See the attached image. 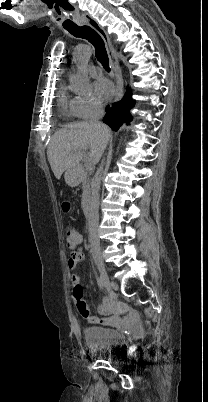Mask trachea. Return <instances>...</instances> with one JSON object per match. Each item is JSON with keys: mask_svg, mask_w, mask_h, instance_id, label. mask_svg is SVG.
<instances>
[{"mask_svg": "<svg viewBox=\"0 0 208 402\" xmlns=\"http://www.w3.org/2000/svg\"><path fill=\"white\" fill-rule=\"evenodd\" d=\"M66 30L74 35V37L85 38L88 40V42L92 43L93 47H95V55L97 60L107 71H110L109 59L104 40H102L101 36L95 30H93V28L89 27V25H83L82 27H69L66 28Z\"/></svg>", "mask_w": 208, "mask_h": 402, "instance_id": "obj_1", "label": "trachea"}]
</instances>
